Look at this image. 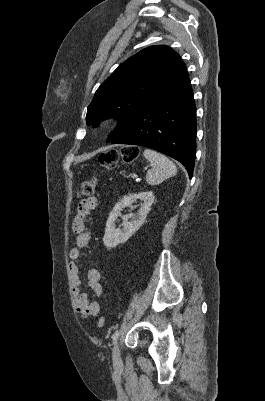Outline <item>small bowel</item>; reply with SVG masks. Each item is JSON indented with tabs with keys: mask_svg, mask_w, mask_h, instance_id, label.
Returning <instances> with one entry per match:
<instances>
[{
	"mask_svg": "<svg viewBox=\"0 0 265 401\" xmlns=\"http://www.w3.org/2000/svg\"><path fill=\"white\" fill-rule=\"evenodd\" d=\"M97 198L92 196L79 202L77 213L72 223V230L77 235L74 246L69 251L70 278L73 300L77 312L84 318L95 316L99 313L100 306L96 301H90L88 296L81 290L80 271L77 260L80 257L81 249L86 247L91 239V233L86 229L85 219L87 215L96 209ZM87 285L98 297L103 295L101 274L97 269L91 268L87 272Z\"/></svg>",
	"mask_w": 265,
	"mask_h": 401,
	"instance_id": "small-bowel-1",
	"label": "small bowel"
}]
</instances>
